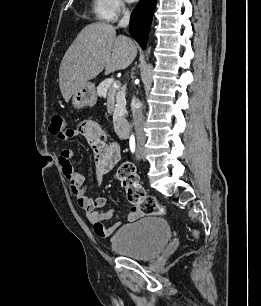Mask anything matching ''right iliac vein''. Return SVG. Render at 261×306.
<instances>
[{"instance_id": "right-iliac-vein-1", "label": "right iliac vein", "mask_w": 261, "mask_h": 306, "mask_svg": "<svg viewBox=\"0 0 261 306\" xmlns=\"http://www.w3.org/2000/svg\"><path fill=\"white\" fill-rule=\"evenodd\" d=\"M142 145H143V141L139 140L138 141V148H139V153H140V156L143 157V151H142Z\"/></svg>"}]
</instances>
